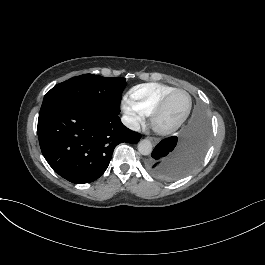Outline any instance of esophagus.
<instances>
[{"mask_svg":"<svg viewBox=\"0 0 265 265\" xmlns=\"http://www.w3.org/2000/svg\"><path fill=\"white\" fill-rule=\"evenodd\" d=\"M150 140L153 142V144H157L159 142V139L157 138H150Z\"/></svg>","mask_w":265,"mask_h":265,"instance_id":"obj_1","label":"esophagus"}]
</instances>
